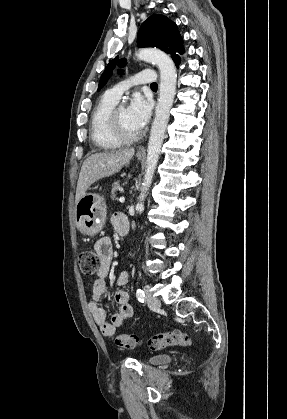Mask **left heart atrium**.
<instances>
[{"instance_id":"39dd6f15","label":"left heart atrium","mask_w":287,"mask_h":419,"mask_svg":"<svg viewBox=\"0 0 287 419\" xmlns=\"http://www.w3.org/2000/svg\"><path fill=\"white\" fill-rule=\"evenodd\" d=\"M132 126L141 131L147 124L151 114V102L140 94H135L127 109Z\"/></svg>"}]
</instances>
